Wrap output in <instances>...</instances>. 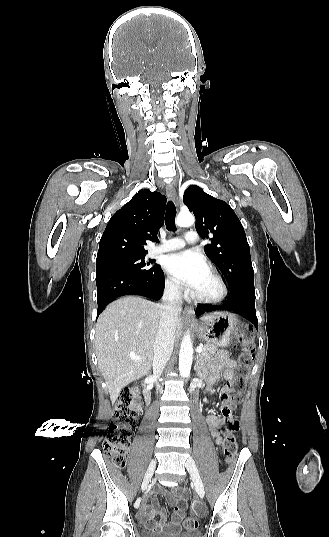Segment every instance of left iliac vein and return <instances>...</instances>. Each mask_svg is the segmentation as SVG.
Returning a JSON list of instances; mask_svg holds the SVG:
<instances>
[{"instance_id":"1","label":"left iliac vein","mask_w":329,"mask_h":537,"mask_svg":"<svg viewBox=\"0 0 329 537\" xmlns=\"http://www.w3.org/2000/svg\"><path fill=\"white\" fill-rule=\"evenodd\" d=\"M186 468L194 483L197 494L199 495L200 498H203L205 494L204 485H203L201 476L199 474V471L197 469V466L195 464V461L192 458H188V460L186 461Z\"/></svg>"}]
</instances>
